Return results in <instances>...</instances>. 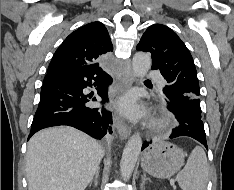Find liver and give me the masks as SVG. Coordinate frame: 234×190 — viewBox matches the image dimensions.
<instances>
[{
	"label": "liver",
	"instance_id": "liver-1",
	"mask_svg": "<svg viewBox=\"0 0 234 190\" xmlns=\"http://www.w3.org/2000/svg\"><path fill=\"white\" fill-rule=\"evenodd\" d=\"M104 149L93 138L68 126L37 132L28 142V190H85Z\"/></svg>",
	"mask_w": 234,
	"mask_h": 190
}]
</instances>
